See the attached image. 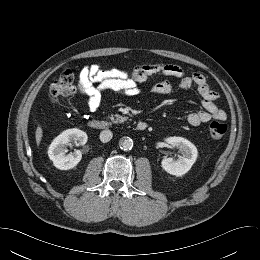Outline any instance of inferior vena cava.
I'll return each mask as SVG.
<instances>
[{"label": "inferior vena cava", "instance_id": "1", "mask_svg": "<svg viewBox=\"0 0 260 260\" xmlns=\"http://www.w3.org/2000/svg\"><path fill=\"white\" fill-rule=\"evenodd\" d=\"M113 133L110 130H103L100 133V140L103 143H107L112 139Z\"/></svg>", "mask_w": 260, "mask_h": 260}]
</instances>
